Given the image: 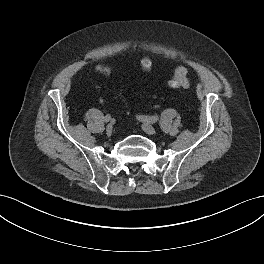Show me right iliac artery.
Masks as SVG:
<instances>
[{
	"label": "right iliac artery",
	"mask_w": 264,
	"mask_h": 264,
	"mask_svg": "<svg viewBox=\"0 0 264 264\" xmlns=\"http://www.w3.org/2000/svg\"><path fill=\"white\" fill-rule=\"evenodd\" d=\"M104 120H105V122H108L109 120H111V115H110V114H107V115L104 117Z\"/></svg>",
	"instance_id": "1"
}]
</instances>
